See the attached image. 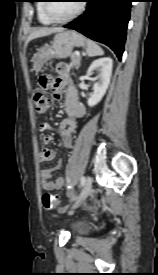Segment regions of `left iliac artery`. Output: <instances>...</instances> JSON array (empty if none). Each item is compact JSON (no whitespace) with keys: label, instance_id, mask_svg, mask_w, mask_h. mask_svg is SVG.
<instances>
[{"label":"left iliac artery","instance_id":"left-iliac-artery-1","mask_svg":"<svg viewBox=\"0 0 158 275\" xmlns=\"http://www.w3.org/2000/svg\"><path fill=\"white\" fill-rule=\"evenodd\" d=\"M84 182H85V177L82 176L80 180L81 185H84Z\"/></svg>","mask_w":158,"mask_h":275}]
</instances>
